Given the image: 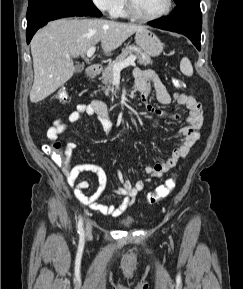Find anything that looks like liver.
<instances>
[{
	"mask_svg": "<svg viewBox=\"0 0 243 289\" xmlns=\"http://www.w3.org/2000/svg\"><path fill=\"white\" fill-rule=\"evenodd\" d=\"M145 28L105 19L63 18L48 23L30 43L34 68L30 101H42L73 76L72 57L85 55L98 42L104 54L110 55L132 34Z\"/></svg>",
	"mask_w": 243,
	"mask_h": 289,
	"instance_id": "obj_1",
	"label": "liver"
}]
</instances>
